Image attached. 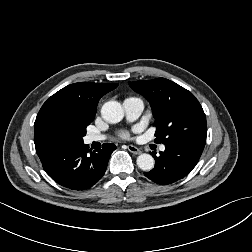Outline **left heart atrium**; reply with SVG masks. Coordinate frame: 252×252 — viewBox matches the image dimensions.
Instances as JSON below:
<instances>
[{
    "mask_svg": "<svg viewBox=\"0 0 252 252\" xmlns=\"http://www.w3.org/2000/svg\"><path fill=\"white\" fill-rule=\"evenodd\" d=\"M123 136H124V137H128L129 134H128V133H124Z\"/></svg>",
    "mask_w": 252,
    "mask_h": 252,
    "instance_id": "1",
    "label": "left heart atrium"
}]
</instances>
